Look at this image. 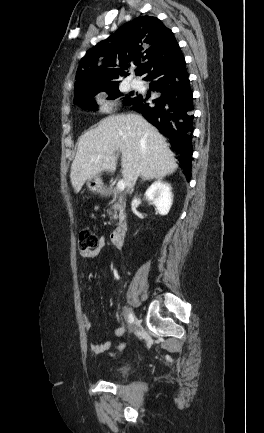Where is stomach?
<instances>
[{
  "label": "stomach",
  "instance_id": "stomach-1",
  "mask_svg": "<svg viewBox=\"0 0 264 433\" xmlns=\"http://www.w3.org/2000/svg\"><path fill=\"white\" fill-rule=\"evenodd\" d=\"M87 187L94 194H104L106 192L103 182L100 177L88 179Z\"/></svg>",
  "mask_w": 264,
  "mask_h": 433
}]
</instances>
